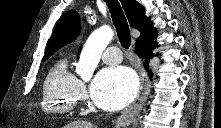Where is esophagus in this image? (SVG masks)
<instances>
[{"label":"esophagus","mask_w":221,"mask_h":128,"mask_svg":"<svg viewBox=\"0 0 221 128\" xmlns=\"http://www.w3.org/2000/svg\"><path fill=\"white\" fill-rule=\"evenodd\" d=\"M141 81L140 89L136 99L124 110H122L120 116L116 120L117 127H126L134 122L135 118L142 109L144 103L146 102L148 91H149V81L146 71L141 66L140 69Z\"/></svg>","instance_id":"1"}]
</instances>
